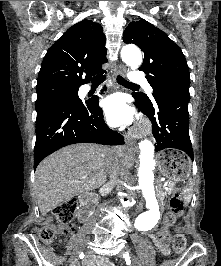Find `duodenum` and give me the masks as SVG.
Returning a JSON list of instances; mask_svg holds the SVG:
<instances>
[{
    "label": "duodenum",
    "mask_w": 221,
    "mask_h": 266,
    "mask_svg": "<svg viewBox=\"0 0 221 266\" xmlns=\"http://www.w3.org/2000/svg\"><path fill=\"white\" fill-rule=\"evenodd\" d=\"M79 201H80L81 207H80L78 216H79V220L82 223H84L90 218L92 214V200L88 195H82L79 198Z\"/></svg>",
    "instance_id": "obj_1"
}]
</instances>
